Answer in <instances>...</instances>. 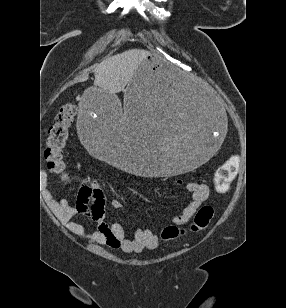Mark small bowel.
Returning <instances> with one entry per match:
<instances>
[{
  "label": "small bowel",
  "instance_id": "1",
  "mask_svg": "<svg viewBox=\"0 0 286 308\" xmlns=\"http://www.w3.org/2000/svg\"><path fill=\"white\" fill-rule=\"evenodd\" d=\"M186 189L191 194V201L181 213L173 217L172 222L176 225L187 224L209 196V188L204 183L191 181L186 184ZM90 201L89 215L91 219L99 223L98 229L93 232H88L84 224L73 221L75 216L87 211ZM50 205L66 227L79 237L88 238L95 243L120 249L126 253H137L144 249L152 250L158 246V236L151 230L137 229L133 238L130 239L125 236L124 228L120 223L107 224L103 221L104 190L97 182H86L81 186L75 205H70L65 199L51 200ZM110 207L120 209L122 202L114 198L110 201Z\"/></svg>",
  "mask_w": 286,
  "mask_h": 308
}]
</instances>
